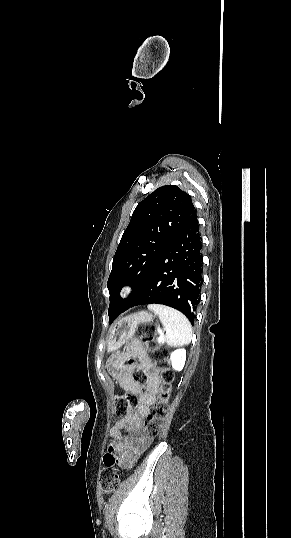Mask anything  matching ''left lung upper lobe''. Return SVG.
I'll return each mask as SVG.
<instances>
[{
  "instance_id": "left-lung-upper-lobe-1",
  "label": "left lung upper lobe",
  "mask_w": 291,
  "mask_h": 538,
  "mask_svg": "<svg viewBox=\"0 0 291 538\" xmlns=\"http://www.w3.org/2000/svg\"><path fill=\"white\" fill-rule=\"evenodd\" d=\"M195 216L190 195L173 185L159 187L137 205L117 247L107 282L109 319L135 299L161 254ZM126 284L133 291L122 299L120 290Z\"/></svg>"
}]
</instances>
